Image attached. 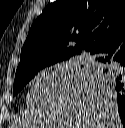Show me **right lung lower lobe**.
<instances>
[{
	"label": "right lung lower lobe",
	"mask_w": 125,
	"mask_h": 128,
	"mask_svg": "<svg viewBox=\"0 0 125 128\" xmlns=\"http://www.w3.org/2000/svg\"><path fill=\"white\" fill-rule=\"evenodd\" d=\"M95 54L99 66L93 72L106 73L107 82L113 88L118 114L125 127V28L99 45Z\"/></svg>",
	"instance_id": "obj_1"
}]
</instances>
